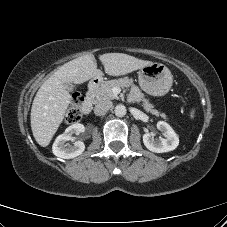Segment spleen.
Wrapping results in <instances>:
<instances>
[{"label":"spleen","mask_w":227,"mask_h":227,"mask_svg":"<svg viewBox=\"0 0 227 227\" xmlns=\"http://www.w3.org/2000/svg\"><path fill=\"white\" fill-rule=\"evenodd\" d=\"M193 114H194V111H192V113H191V117L193 118Z\"/></svg>","instance_id":"1"}]
</instances>
